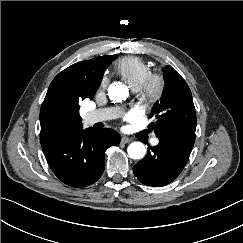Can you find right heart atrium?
Returning a JSON list of instances; mask_svg holds the SVG:
<instances>
[{
	"instance_id": "right-heart-atrium-1",
	"label": "right heart atrium",
	"mask_w": 243,
	"mask_h": 243,
	"mask_svg": "<svg viewBox=\"0 0 243 243\" xmlns=\"http://www.w3.org/2000/svg\"><path fill=\"white\" fill-rule=\"evenodd\" d=\"M108 82H109L108 76L103 75V77L101 78L100 87L105 88L107 86Z\"/></svg>"
}]
</instances>
